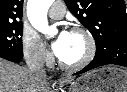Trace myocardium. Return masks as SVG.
<instances>
[{
	"instance_id": "myocardium-1",
	"label": "myocardium",
	"mask_w": 127,
	"mask_h": 92,
	"mask_svg": "<svg viewBox=\"0 0 127 92\" xmlns=\"http://www.w3.org/2000/svg\"><path fill=\"white\" fill-rule=\"evenodd\" d=\"M71 33L81 34L87 41V52L84 57L76 63H65L61 59L58 60V64L61 69L75 72L85 68L94 59L97 51V45L93 34L87 28L83 26H75L71 29Z\"/></svg>"
}]
</instances>
